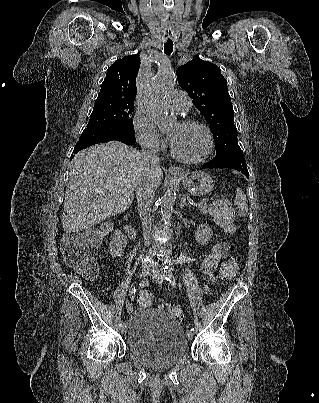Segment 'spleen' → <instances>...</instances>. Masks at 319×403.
Masks as SVG:
<instances>
[{
    "label": "spleen",
    "mask_w": 319,
    "mask_h": 403,
    "mask_svg": "<svg viewBox=\"0 0 319 403\" xmlns=\"http://www.w3.org/2000/svg\"><path fill=\"white\" fill-rule=\"evenodd\" d=\"M235 204L239 209L238 215L245 217L248 213V201L241 188H237L236 190Z\"/></svg>",
    "instance_id": "3e777b00"
}]
</instances>
